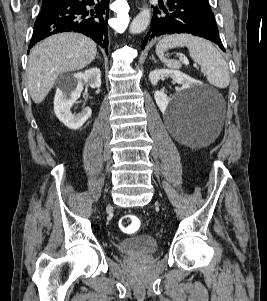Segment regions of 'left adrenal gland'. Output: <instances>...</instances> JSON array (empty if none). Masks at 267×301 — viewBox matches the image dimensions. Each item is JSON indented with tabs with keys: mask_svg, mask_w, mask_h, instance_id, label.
<instances>
[{
	"mask_svg": "<svg viewBox=\"0 0 267 301\" xmlns=\"http://www.w3.org/2000/svg\"><path fill=\"white\" fill-rule=\"evenodd\" d=\"M150 59H152L154 62H156L154 55H152V57H150Z\"/></svg>",
	"mask_w": 267,
	"mask_h": 301,
	"instance_id": "left-adrenal-gland-1",
	"label": "left adrenal gland"
}]
</instances>
